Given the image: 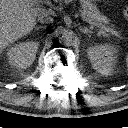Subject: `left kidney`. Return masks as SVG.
I'll use <instances>...</instances> for the list:
<instances>
[{
    "mask_svg": "<svg viewBox=\"0 0 128 128\" xmlns=\"http://www.w3.org/2000/svg\"><path fill=\"white\" fill-rule=\"evenodd\" d=\"M115 52L114 46L105 44L95 45L89 48L87 53L93 69L102 75H109L113 72L115 66L116 60L113 56Z\"/></svg>",
    "mask_w": 128,
    "mask_h": 128,
    "instance_id": "left-kidney-1",
    "label": "left kidney"
}]
</instances>
